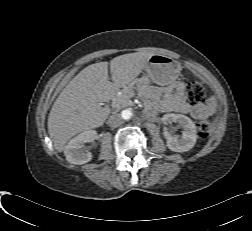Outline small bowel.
Returning a JSON list of instances; mask_svg holds the SVG:
<instances>
[{"instance_id": "1", "label": "small bowel", "mask_w": 252, "mask_h": 231, "mask_svg": "<svg viewBox=\"0 0 252 231\" xmlns=\"http://www.w3.org/2000/svg\"><path fill=\"white\" fill-rule=\"evenodd\" d=\"M172 108L179 113H189L193 118L200 120L205 119L209 116V108L203 104L197 106H191L187 104L182 98H177Z\"/></svg>"}]
</instances>
